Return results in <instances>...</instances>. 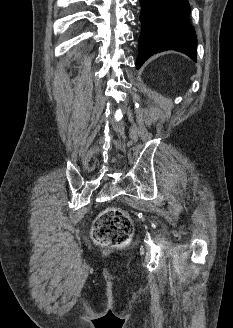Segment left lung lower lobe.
Returning <instances> with one entry per match:
<instances>
[{"instance_id": "left-lung-lower-lobe-1", "label": "left lung lower lobe", "mask_w": 233, "mask_h": 328, "mask_svg": "<svg viewBox=\"0 0 233 328\" xmlns=\"http://www.w3.org/2000/svg\"><path fill=\"white\" fill-rule=\"evenodd\" d=\"M142 31L139 69L151 55L165 50L182 52L196 61V33L189 24L188 0H140Z\"/></svg>"}]
</instances>
